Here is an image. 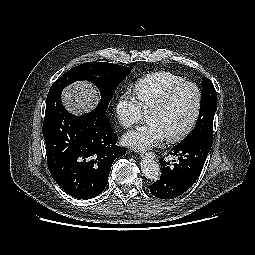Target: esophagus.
Instances as JSON below:
<instances>
[{"label":"esophagus","instance_id":"34e87169","mask_svg":"<svg viewBox=\"0 0 255 255\" xmlns=\"http://www.w3.org/2000/svg\"><path fill=\"white\" fill-rule=\"evenodd\" d=\"M141 157H150V158H155L156 154L153 152H140L139 154Z\"/></svg>","mask_w":255,"mask_h":255}]
</instances>
